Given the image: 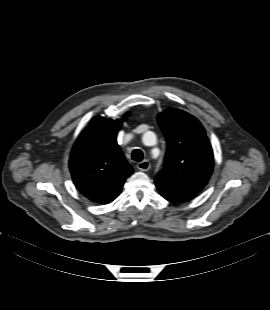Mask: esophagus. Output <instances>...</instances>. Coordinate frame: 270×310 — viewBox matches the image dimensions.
I'll return each instance as SVG.
<instances>
[{"mask_svg": "<svg viewBox=\"0 0 270 310\" xmlns=\"http://www.w3.org/2000/svg\"><path fill=\"white\" fill-rule=\"evenodd\" d=\"M150 167V162L147 160H143L137 164V168L141 171H148Z\"/></svg>", "mask_w": 270, "mask_h": 310, "instance_id": "1", "label": "esophagus"}]
</instances>
